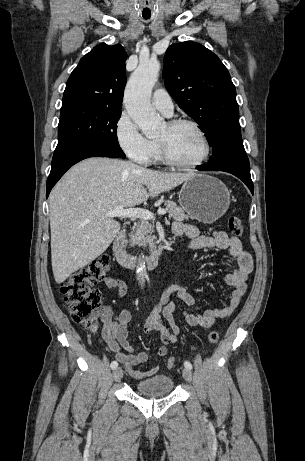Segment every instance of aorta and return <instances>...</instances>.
<instances>
[{"mask_svg": "<svg viewBox=\"0 0 305 461\" xmlns=\"http://www.w3.org/2000/svg\"><path fill=\"white\" fill-rule=\"evenodd\" d=\"M160 63L157 60L140 62L132 73L125 89L124 103L130 118L148 138L158 136L164 126V119L157 114L150 103L152 89L157 82ZM140 259L136 275L143 287L146 277L145 262Z\"/></svg>", "mask_w": 305, "mask_h": 461, "instance_id": "obj_1", "label": "aorta"}]
</instances>
